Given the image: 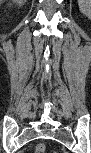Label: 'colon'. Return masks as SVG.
<instances>
[{
	"label": "colon",
	"instance_id": "5ec220e1",
	"mask_svg": "<svg viewBox=\"0 0 91 153\" xmlns=\"http://www.w3.org/2000/svg\"><path fill=\"white\" fill-rule=\"evenodd\" d=\"M34 152L35 153H45L46 152V144L45 143H39L38 145H36V147L34 148Z\"/></svg>",
	"mask_w": 91,
	"mask_h": 153
}]
</instances>
